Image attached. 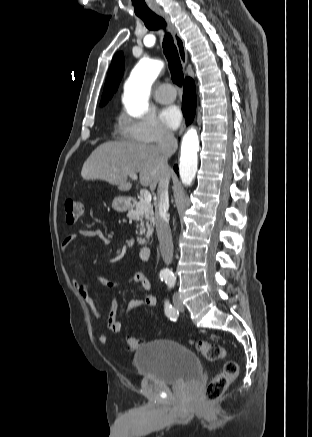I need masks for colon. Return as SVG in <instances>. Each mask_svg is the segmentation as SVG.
<instances>
[{"instance_id": "colon-1", "label": "colon", "mask_w": 312, "mask_h": 437, "mask_svg": "<svg viewBox=\"0 0 312 437\" xmlns=\"http://www.w3.org/2000/svg\"><path fill=\"white\" fill-rule=\"evenodd\" d=\"M65 219L68 224L76 223L84 212V204L82 201L68 198L64 203ZM142 339L130 337L127 340L128 349L131 351L137 350L142 344ZM195 349L209 362L222 360L226 351L223 346L203 340L191 341ZM239 372L237 362L233 360L227 361L221 371L208 383L201 399L205 402L218 399L225 392L230 383L235 380Z\"/></svg>"}]
</instances>
